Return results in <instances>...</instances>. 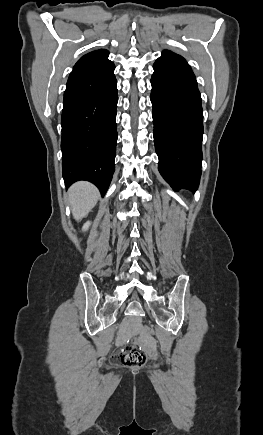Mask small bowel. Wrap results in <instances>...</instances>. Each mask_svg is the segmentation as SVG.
Here are the masks:
<instances>
[{
    "mask_svg": "<svg viewBox=\"0 0 263 435\" xmlns=\"http://www.w3.org/2000/svg\"><path fill=\"white\" fill-rule=\"evenodd\" d=\"M124 338V334H121L120 339L122 340ZM145 350H154L155 343L154 341H145L144 343ZM152 359H157V354H152Z\"/></svg>",
    "mask_w": 263,
    "mask_h": 435,
    "instance_id": "small-bowel-1",
    "label": "small bowel"
}]
</instances>
